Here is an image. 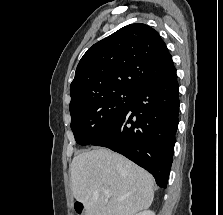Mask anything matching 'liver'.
Instances as JSON below:
<instances>
[{
  "label": "liver",
  "mask_w": 223,
  "mask_h": 215,
  "mask_svg": "<svg viewBox=\"0 0 223 215\" xmlns=\"http://www.w3.org/2000/svg\"><path fill=\"white\" fill-rule=\"evenodd\" d=\"M70 169L73 195L84 203L85 215H134L153 201L151 173L110 149L83 151Z\"/></svg>",
  "instance_id": "liver-1"
}]
</instances>
